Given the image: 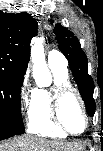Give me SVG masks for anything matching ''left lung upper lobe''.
<instances>
[{"instance_id":"obj_1","label":"left lung upper lobe","mask_w":103,"mask_h":151,"mask_svg":"<svg viewBox=\"0 0 103 151\" xmlns=\"http://www.w3.org/2000/svg\"><path fill=\"white\" fill-rule=\"evenodd\" d=\"M53 22V20H51ZM58 48L68 59L70 69L78 85V89L85 102L88 115L93 116L95 112V101L93 99L94 82L88 74V60L81 49L79 40L67 28L57 23L54 28Z\"/></svg>"}]
</instances>
